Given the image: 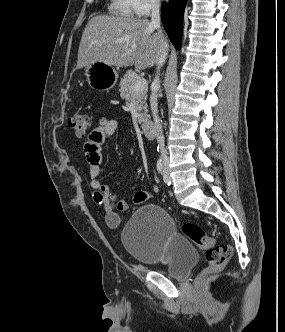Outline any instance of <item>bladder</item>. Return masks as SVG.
<instances>
[{"instance_id":"obj_1","label":"bladder","mask_w":285,"mask_h":332,"mask_svg":"<svg viewBox=\"0 0 285 332\" xmlns=\"http://www.w3.org/2000/svg\"><path fill=\"white\" fill-rule=\"evenodd\" d=\"M121 239L134 260L163 265L174 278L184 277L197 261L194 246L176 232L171 215L158 205L139 207L125 225Z\"/></svg>"}]
</instances>
